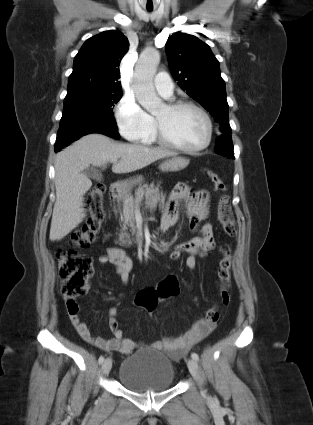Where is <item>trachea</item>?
<instances>
[{
    "label": "trachea",
    "mask_w": 313,
    "mask_h": 425,
    "mask_svg": "<svg viewBox=\"0 0 313 425\" xmlns=\"http://www.w3.org/2000/svg\"><path fill=\"white\" fill-rule=\"evenodd\" d=\"M148 11H152V9H147Z\"/></svg>",
    "instance_id": "trachea-1"
}]
</instances>
